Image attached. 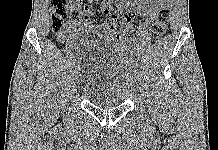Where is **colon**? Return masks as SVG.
<instances>
[{
  "label": "colon",
  "mask_w": 218,
  "mask_h": 150,
  "mask_svg": "<svg viewBox=\"0 0 218 150\" xmlns=\"http://www.w3.org/2000/svg\"><path fill=\"white\" fill-rule=\"evenodd\" d=\"M72 0H52L51 2V28L54 33H58L62 29L63 21L71 15ZM169 12L162 9L158 12L154 19L150 36L157 39L162 36L167 28ZM124 16L121 12L113 13L103 24L104 29L110 33L114 39L123 41L127 38L129 30L123 27Z\"/></svg>",
  "instance_id": "5ec220e1"
}]
</instances>
